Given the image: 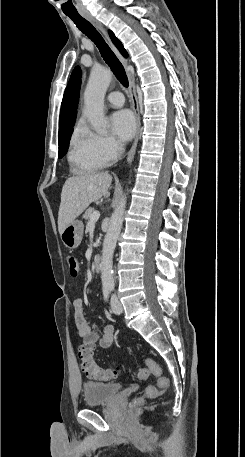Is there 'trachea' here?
Returning a JSON list of instances; mask_svg holds the SVG:
<instances>
[{
	"instance_id": "3493384b",
	"label": "trachea",
	"mask_w": 245,
	"mask_h": 457,
	"mask_svg": "<svg viewBox=\"0 0 245 457\" xmlns=\"http://www.w3.org/2000/svg\"><path fill=\"white\" fill-rule=\"evenodd\" d=\"M65 15L73 20L79 30L95 43L101 56L111 68L116 78L124 87H128L129 82L122 63L114 55L111 48L107 45L100 33L93 27L92 23L81 17L79 13H65Z\"/></svg>"
}]
</instances>
